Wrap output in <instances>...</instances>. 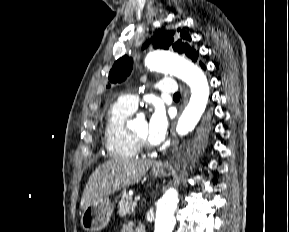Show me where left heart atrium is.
I'll use <instances>...</instances> for the list:
<instances>
[{
    "label": "left heart atrium",
    "mask_w": 289,
    "mask_h": 232,
    "mask_svg": "<svg viewBox=\"0 0 289 232\" xmlns=\"http://www.w3.org/2000/svg\"><path fill=\"white\" fill-rule=\"evenodd\" d=\"M168 126L164 108L156 105L147 121V140L154 145L160 144L167 135Z\"/></svg>",
    "instance_id": "left-heart-atrium-1"
}]
</instances>
